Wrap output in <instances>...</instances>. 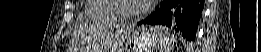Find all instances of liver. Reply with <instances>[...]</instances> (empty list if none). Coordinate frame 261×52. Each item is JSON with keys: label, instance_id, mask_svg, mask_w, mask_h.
<instances>
[{"label": "liver", "instance_id": "liver-1", "mask_svg": "<svg viewBox=\"0 0 261 52\" xmlns=\"http://www.w3.org/2000/svg\"><path fill=\"white\" fill-rule=\"evenodd\" d=\"M130 31L129 27H119V26H106L103 33L101 34V40H103L102 47L104 45L105 50L115 49L118 46H121L122 40ZM101 47V50H102Z\"/></svg>", "mask_w": 261, "mask_h": 52}]
</instances>
